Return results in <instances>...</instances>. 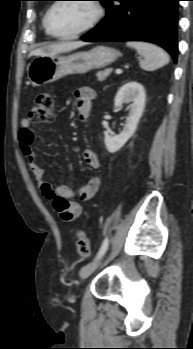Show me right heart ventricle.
I'll return each instance as SVG.
<instances>
[{
    "label": "right heart ventricle",
    "instance_id": "right-heart-ventricle-1",
    "mask_svg": "<svg viewBox=\"0 0 193 349\" xmlns=\"http://www.w3.org/2000/svg\"><path fill=\"white\" fill-rule=\"evenodd\" d=\"M44 17H45V14H44L43 19H42V25H43V28H44V30H45V33L48 34L47 31H46V29H45V25H44Z\"/></svg>",
    "mask_w": 193,
    "mask_h": 349
}]
</instances>
